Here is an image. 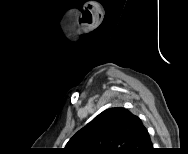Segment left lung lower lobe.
<instances>
[{
  "label": "left lung lower lobe",
  "instance_id": "obj_1",
  "mask_svg": "<svg viewBox=\"0 0 188 154\" xmlns=\"http://www.w3.org/2000/svg\"><path fill=\"white\" fill-rule=\"evenodd\" d=\"M152 143L150 136L142 121L136 116L134 121V131L127 154H143L144 151L151 150Z\"/></svg>",
  "mask_w": 188,
  "mask_h": 154
}]
</instances>
